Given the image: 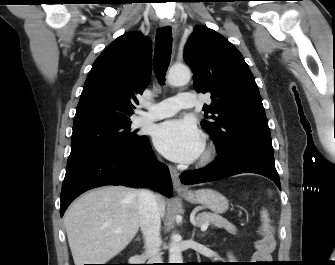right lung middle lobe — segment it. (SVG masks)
<instances>
[{
    "label": "right lung middle lobe",
    "mask_w": 335,
    "mask_h": 265,
    "mask_svg": "<svg viewBox=\"0 0 335 265\" xmlns=\"http://www.w3.org/2000/svg\"><path fill=\"white\" fill-rule=\"evenodd\" d=\"M130 121L96 122L73 127L71 153L88 150H131L139 146L145 136L130 129Z\"/></svg>",
    "instance_id": "obj_1"
}]
</instances>
